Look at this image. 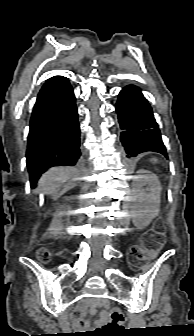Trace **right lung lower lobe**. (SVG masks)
Wrapping results in <instances>:
<instances>
[{"instance_id":"1","label":"right lung lower lobe","mask_w":194,"mask_h":336,"mask_svg":"<svg viewBox=\"0 0 194 336\" xmlns=\"http://www.w3.org/2000/svg\"><path fill=\"white\" fill-rule=\"evenodd\" d=\"M73 89L62 76L46 81L33 108L27 144L31 187L48 168L75 165L81 156Z\"/></svg>"}]
</instances>
